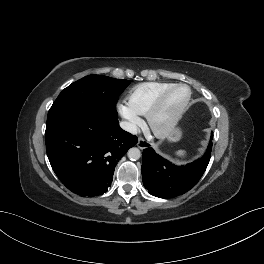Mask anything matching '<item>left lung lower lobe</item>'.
Returning a JSON list of instances; mask_svg holds the SVG:
<instances>
[{"label": "left lung lower lobe", "instance_id": "1", "mask_svg": "<svg viewBox=\"0 0 264 264\" xmlns=\"http://www.w3.org/2000/svg\"><path fill=\"white\" fill-rule=\"evenodd\" d=\"M213 135H211L212 139ZM149 146V145H148ZM212 142L200 159L175 166L148 147L143 150L142 176L148 192L159 198H172L189 191L205 172L211 156Z\"/></svg>", "mask_w": 264, "mask_h": 264}]
</instances>
